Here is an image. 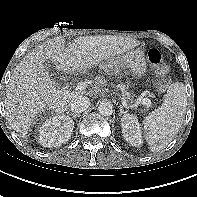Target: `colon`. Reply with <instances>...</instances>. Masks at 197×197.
Returning <instances> with one entry per match:
<instances>
[{
	"label": "colon",
	"instance_id": "1",
	"mask_svg": "<svg viewBox=\"0 0 197 197\" xmlns=\"http://www.w3.org/2000/svg\"><path fill=\"white\" fill-rule=\"evenodd\" d=\"M147 56L158 77L157 88L159 90L166 89L169 85L170 79L168 75L169 67L164 56L158 49H150Z\"/></svg>",
	"mask_w": 197,
	"mask_h": 197
}]
</instances>
